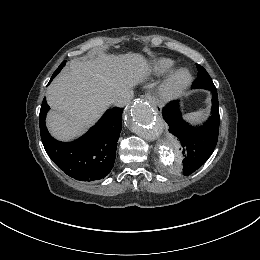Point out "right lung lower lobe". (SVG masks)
Instances as JSON below:
<instances>
[{
	"instance_id": "obj_1",
	"label": "right lung lower lobe",
	"mask_w": 260,
	"mask_h": 260,
	"mask_svg": "<svg viewBox=\"0 0 260 260\" xmlns=\"http://www.w3.org/2000/svg\"><path fill=\"white\" fill-rule=\"evenodd\" d=\"M59 72L56 70L51 80ZM48 110L44 98L39 115L40 133L44 148L54 163L80 181L99 180L107 176L115 162L123 109L113 107L107 110L85 135L69 143L57 141L48 133L45 126Z\"/></svg>"
}]
</instances>
